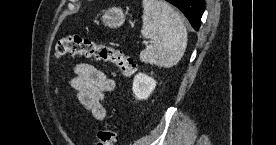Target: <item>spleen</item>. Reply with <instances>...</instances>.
<instances>
[{
	"label": "spleen",
	"mask_w": 276,
	"mask_h": 145,
	"mask_svg": "<svg viewBox=\"0 0 276 145\" xmlns=\"http://www.w3.org/2000/svg\"><path fill=\"white\" fill-rule=\"evenodd\" d=\"M142 36L151 44L140 53V60L159 67H172L183 57L187 30L179 13L161 0H143Z\"/></svg>",
	"instance_id": "obj_1"
}]
</instances>
